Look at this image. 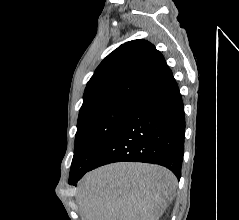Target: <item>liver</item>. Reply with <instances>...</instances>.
<instances>
[{"mask_svg":"<svg viewBox=\"0 0 239 220\" xmlns=\"http://www.w3.org/2000/svg\"><path fill=\"white\" fill-rule=\"evenodd\" d=\"M168 169L145 163H113L87 173L78 185L82 220H158L176 194Z\"/></svg>","mask_w":239,"mask_h":220,"instance_id":"1","label":"liver"}]
</instances>
